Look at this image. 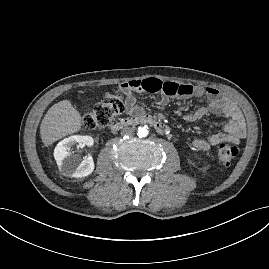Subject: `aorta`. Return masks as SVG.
Masks as SVG:
<instances>
[{"instance_id": "aorta-1", "label": "aorta", "mask_w": 269, "mask_h": 269, "mask_svg": "<svg viewBox=\"0 0 269 269\" xmlns=\"http://www.w3.org/2000/svg\"><path fill=\"white\" fill-rule=\"evenodd\" d=\"M149 134V130L147 126H140L138 128V136L139 137H146Z\"/></svg>"}]
</instances>
